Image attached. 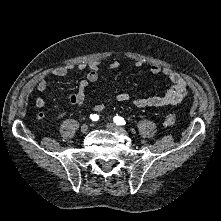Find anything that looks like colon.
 <instances>
[{
	"label": "colon",
	"mask_w": 221,
	"mask_h": 221,
	"mask_svg": "<svg viewBox=\"0 0 221 221\" xmlns=\"http://www.w3.org/2000/svg\"><path fill=\"white\" fill-rule=\"evenodd\" d=\"M164 124L168 127L174 126L176 124V116L173 113H168L164 117Z\"/></svg>",
	"instance_id": "obj_1"
}]
</instances>
